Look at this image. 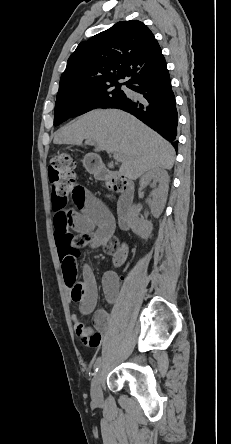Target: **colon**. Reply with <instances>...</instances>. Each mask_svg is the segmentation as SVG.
I'll return each instance as SVG.
<instances>
[{"mask_svg": "<svg viewBox=\"0 0 231 444\" xmlns=\"http://www.w3.org/2000/svg\"><path fill=\"white\" fill-rule=\"evenodd\" d=\"M49 179L54 198L65 200L73 194L77 186V181L73 170V162L68 155L60 154L52 159L49 166ZM126 184L127 182L123 178L109 183L114 190H123ZM123 259V254L117 253L115 255L116 262H121ZM66 262L72 267L76 266V259L74 257H68ZM84 292V284L76 283L73 290L74 296L80 298Z\"/></svg>", "mask_w": 231, "mask_h": 444, "instance_id": "1", "label": "colon"}]
</instances>
